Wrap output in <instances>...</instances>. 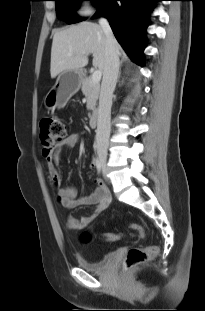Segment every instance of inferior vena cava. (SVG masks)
I'll return each instance as SVG.
<instances>
[{
	"instance_id": "602c4592",
	"label": "inferior vena cava",
	"mask_w": 205,
	"mask_h": 311,
	"mask_svg": "<svg viewBox=\"0 0 205 311\" xmlns=\"http://www.w3.org/2000/svg\"><path fill=\"white\" fill-rule=\"evenodd\" d=\"M99 23L106 37V66L103 72L99 97L96 143L97 149L106 152L110 136L112 96L119 72V52L116 39L107 19L101 18Z\"/></svg>"
}]
</instances>
